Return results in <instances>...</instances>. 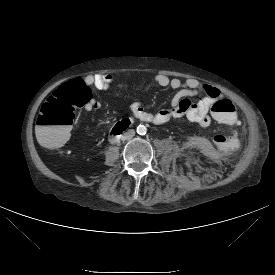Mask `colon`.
<instances>
[{
  "mask_svg": "<svg viewBox=\"0 0 275 275\" xmlns=\"http://www.w3.org/2000/svg\"><path fill=\"white\" fill-rule=\"evenodd\" d=\"M89 101L90 91L83 80L76 79L59 86L42 105L36 120L40 144L46 148L62 144L70 134L76 110L87 106ZM211 111L223 121L236 117L234 104L223 97L213 101Z\"/></svg>",
  "mask_w": 275,
  "mask_h": 275,
  "instance_id": "obj_1",
  "label": "colon"
}]
</instances>
